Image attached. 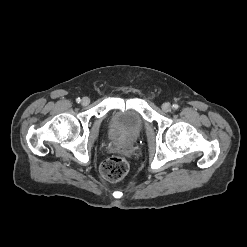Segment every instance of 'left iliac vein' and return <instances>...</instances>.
Masks as SVG:
<instances>
[{
	"label": "left iliac vein",
	"mask_w": 247,
	"mask_h": 247,
	"mask_svg": "<svg viewBox=\"0 0 247 247\" xmlns=\"http://www.w3.org/2000/svg\"><path fill=\"white\" fill-rule=\"evenodd\" d=\"M162 110H163L164 112H170V110H171V105H170V103H168V102L164 103V104L162 105Z\"/></svg>",
	"instance_id": "1"
}]
</instances>
